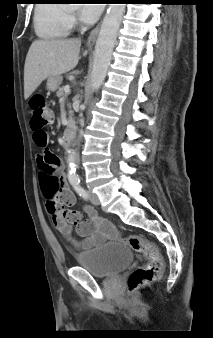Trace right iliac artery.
Listing matches in <instances>:
<instances>
[{"instance_id": "82829eb1", "label": "right iliac artery", "mask_w": 213, "mask_h": 338, "mask_svg": "<svg viewBox=\"0 0 213 338\" xmlns=\"http://www.w3.org/2000/svg\"><path fill=\"white\" fill-rule=\"evenodd\" d=\"M78 184H79V182H75V183L73 184V187L76 186V185H78Z\"/></svg>"}]
</instances>
